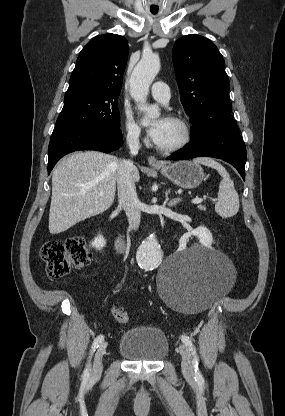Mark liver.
Returning a JSON list of instances; mask_svg holds the SVG:
<instances>
[{
	"instance_id": "obj_1",
	"label": "liver",
	"mask_w": 285,
	"mask_h": 416,
	"mask_svg": "<svg viewBox=\"0 0 285 416\" xmlns=\"http://www.w3.org/2000/svg\"><path fill=\"white\" fill-rule=\"evenodd\" d=\"M119 162L115 156L101 152H74L58 164L52 176L50 234L66 232L112 206ZM132 178L139 182L137 168H133Z\"/></svg>"
}]
</instances>
